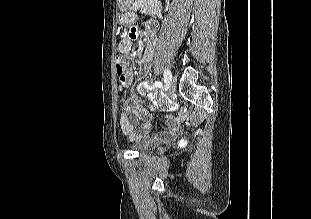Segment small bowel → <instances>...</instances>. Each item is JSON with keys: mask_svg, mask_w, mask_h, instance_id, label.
I'll list each match as a JSON object with an SVG mask.
<instances>
[{"mask_svg": "<svg viewBox=\"0 0 311 219\" xmlns=\"http://www.w3.org/2000/svg\"><path fill=\"white\" fill-rule=\"evenodd\" d=\"M147 48L143 59L141 60V68L137 79V85L132 88L128 97L126 98L123 106V111L120 117V125L123 133L127 135L131 140H138L146 143H154L159 140H165L176 136L180 128L177 126L174 117H166L167 129L158 132L154 135H149L152 122V114L145 108L143 100L140 96L141 87L146 80L150 67L149 62L152 59L153 51L155 47V40L148 35L146 40ZM132 42L130 39H123L119 43L118 51L123 55H129L131 53ZM127 85L126 88L131 87L133 80L132 71L127 72ZM137 87L138 90H137ZM153 101L159 100V93L156 91L155 85L148 86V92L146 93Z\"/></svg>", "mask_w": 311, "mask_h": 219, "instance_id": "small-bowel-1", "label": "small bowel"}]
</instances>
